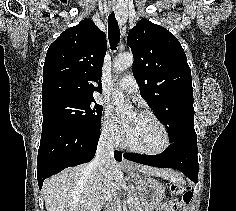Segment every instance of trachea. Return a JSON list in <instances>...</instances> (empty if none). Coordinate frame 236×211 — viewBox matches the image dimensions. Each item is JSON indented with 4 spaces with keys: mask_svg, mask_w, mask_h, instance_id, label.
<instances>
[{
    "mask_svg": "<svg viewBox=\"0 0 236 211\" xmlns=\"http://www.w3.org/2000/svg\"><path fill=\"white\" fill-rule=\"evenodd\" d=\"M108 37L111 49L115 50L120 41V29L114 12L108 16Z\"/></svg>",
    "mask_w": 236,
    "mask_h": 211,
    "instance_id": "obj_1",
    "label": "trachea"
}]
</instances>
